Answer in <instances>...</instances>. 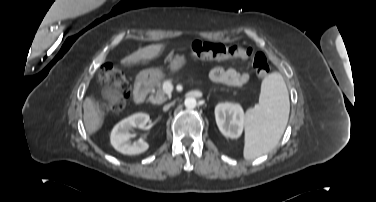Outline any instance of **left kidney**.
Instances as JSON below:
<instances>
[{
    "mask_svg": "<svg viewBox=\"0 0 376 202\" xmlns=\"http://www.w3.org/2000/svg\"><path fill=\"white\" fill-rule=\"evenodd\" d=\"M245 113L240 104L219 103L215 107V119L220 132L229 138H239L243 132Z\"/></svg>",
    "mask_w": 376,
    "mask_h": 202,
    "instance_id": "obj_1",
    "label": "left kidney"
}]
</instances>
